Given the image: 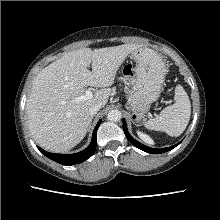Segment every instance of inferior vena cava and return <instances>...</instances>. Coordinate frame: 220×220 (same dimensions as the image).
Listing matches in <instances>:
<instances>
[{
    "instance_id": "602c4592",
    "label": "inferior vena cava",
    "mask_w": 220,
    "mask_h": 220,
    "mask_svg": "<svg viewBox=\"0 0 220 220\" xmlns=\"http://www.w3.org/2000/svg\"><path fill=\"white\" fill-rule=\"evenodd\" d=\"M101 107L100 104H95L89 108L88 113L93 116L101 109Z\"/></svg>"
}]
</instances>
